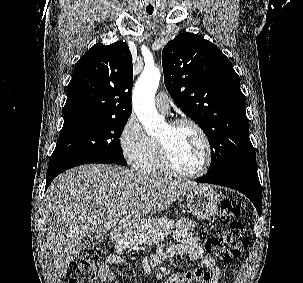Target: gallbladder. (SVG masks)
Segmentation results:
<instances>
[{
	"label": "gallbladder",
	"mask_w": 303,
	"mask_h": 283,
	"mask_svg": "<svg viewBox=\"0 0 303 283\" xmlns=\"http://www.w3.org/2000/svg\"><path fill=\"white\" fill-rule=\"evenodd\" d=\"M106 234L105 233H91L85 240H84V247L83 249H89L94 246L100 245L105 240Z\"/></svg>",
	"instance_id": "obj_1"
}]
</instances>
